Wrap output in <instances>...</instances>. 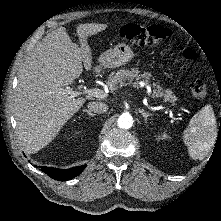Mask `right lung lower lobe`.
<instances>
[{
    "label": "right lung lower lobe",
    "instance_id": "obj_1",
    "mask_svg": "<svg viewBox=\"0 0 221 221\" xmlns=\"http://www.w3.org/2000/svg\"><path fill=\"white\" fill-rule=\"evenodd\" d=\"M85 167L86 165L77 166L70 169H58L42 166L41 170L55 180L67 181L79 175Z\"/></svg>",
    "mask_w": 221,
    "mask_h": 221
}]
</instances>
